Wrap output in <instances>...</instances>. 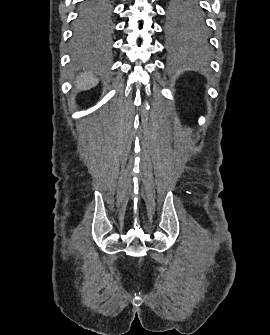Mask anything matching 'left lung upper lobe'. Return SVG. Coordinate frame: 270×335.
<instances>
[{"label": "left lung upper lobe", "instance_id": "left-lung-upper-lobe-1", "mask_svg": "<svg viewBox=\"0 0 270 335\" xmlns=\"http://www.w3.org/2000/svg\"><path fill=\"white\" fill-rule=\"evenodd\" d=\"M168 7V29L172 33L202 30L204 9L199 0H171Z\"/></svg>", "mask_w": 270, "mask_h": 335}]
</instances>
